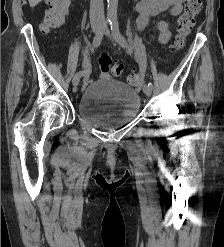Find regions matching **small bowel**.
Listing matches in <instances>:
<instances>
[{"label": "small bowel", "instance_id": "c3829d8e", "mask_svg": "<svg viewBox=\"0 0 224 247\" xmlns=\"http://www.w3.org/2000/svg\"><path fill=\"white\" fill-rule=\"evenodd\" d=\"M182 8L183 0H140L136 5L138 13L137 29L139 31L143 30L151 18L165 11H168L172 16H178L182 12ZM156 27L159 32V42L162 44L168 43L171 33L167 21H158Z\"/></svg>", "mask_w": 224, "mask_h": 247}]
</instances>
